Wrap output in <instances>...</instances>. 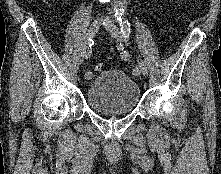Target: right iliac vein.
<instances>
[{
  "label": "right iliac vein",
  "mask_w": 221,
  "mask_h": 174,
  "mask_svg": "<svg viewBox=\"0 0 221 174\" xmlns=\"http://www.w3.org/2000/svg\"><path fill=\"white\" fill-rule=\"evenodd\" d=\"M98 30H99V22L98 21H94L90 25V27L88 29V32H87V35H86L87 39L95 37V35L97 34ZM86 58H87V50L85 49L83 51V53H82V58L80 60V63H83L84 59H86Z\"/></svg>",
  "instance_id": "obj_1"
}]
</instances>
